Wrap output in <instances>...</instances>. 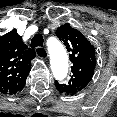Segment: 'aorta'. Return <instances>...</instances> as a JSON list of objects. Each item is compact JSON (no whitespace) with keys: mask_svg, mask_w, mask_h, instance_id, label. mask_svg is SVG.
<instances>
[{"mask_svg":"<svg viewBox=\"0 0 117 117\" xmlns=\"http://www.w3.org/2000/svg\"><path fill=\"white\" fill-rule=\"evenodd\" d=\"M48 51L54 77L57 80H63L68 73L69 67L66 49L59 41L54 40L53 42L48 43Z\"/></svg>","mask_w":117,"mask_h":117,"instance_id":"1","label":"aorta"}]
</instances>
